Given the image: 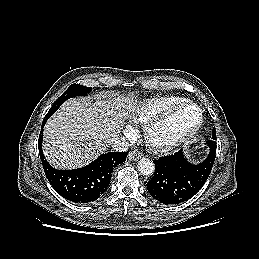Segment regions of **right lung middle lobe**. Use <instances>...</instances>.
I'll use <instances>...</instances> for the list:
<instances>
[{
	"label": "right lung middle lobe",
	"mask_w": 259,
	"mask_h": 259,
	"mask_svg": "<svg viewBox=\"0 0 259 259\" xmlns=\"http://www.w3.org/2000/svg\"><path fill=\"white\" fill-rule=\"evenodd\" d=\"M92 91L91 87L82 86L79 84H72L52 105L46 116L50 117L61 104L69 98L76 96H86L89 92Z\"/></svg>",
	"instance_id": "obj_1"
}]
</instances>
